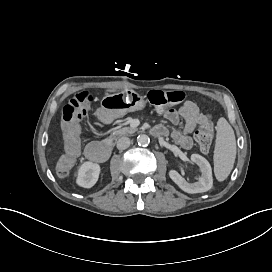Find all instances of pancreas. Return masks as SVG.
Wrapping results in <instances>:
<instances>
[{
	"instance_id": "cf45deb5",
	"label": "pancreas",
	"mask_w": 272,
	"mask_h": 272,
	"mask_svg": "<svg viewBox=\"0 0 272 272\" xmlns=\"http://www.w3.org/2000/svg\"><path fill=\"white\" fill-rule=\"evenodd\" d=\"M136 131H137V128L124 127V128L113 131V133L106 140L109 142H114V141H117L120 137L127 134L135 133Z\"/></svg>"
}]
</instances>
